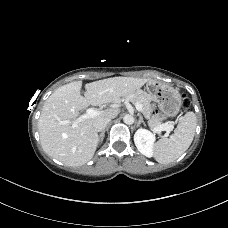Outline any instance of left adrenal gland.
Masks as SVG:
<instances>
[{"mask_svg": "<svg viewBox=\"0 0 228 228\" xmlns=\"http://www.w3.org/2000/svg\"><path fill=\"white\" fill-rule=\"evenodd\" d=\"M141 123H143L144 126H146V123L143 120V117L141 115H139V120H138V125H140Z\"/></svg>", "mask_w": 228, "mask_h": 228, "instance_id": "a2214340", "label": "left adrenal gland"}]
</instances>
